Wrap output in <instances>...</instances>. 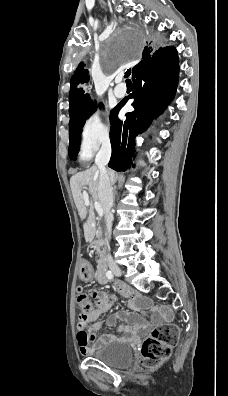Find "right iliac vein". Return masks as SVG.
<instances>
[{"instance_id":"1","label":"right iliac vein","mask_w":228,"mask_h":396,"mask_svg":"<svg viewBox=\"0 0 228 396\" xmlns=\"http://www.w3.org/2000/svg\"><path fill=\"white\" fill-rule=\"evenodd\" d=\"M109 268L113 272L114 275L116 276H121L122 275V270L120 267L113 261L109 262Z\"/></svg>"}]
</instances>
